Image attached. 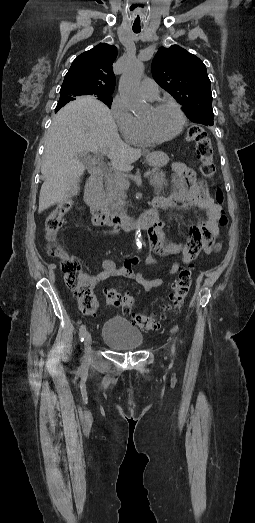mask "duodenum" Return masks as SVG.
I'll list each match as a JSON object with an SVG mask.
<instances>
[{
    "label": "duodenum",
    "instance_id": "410a0bca",
    "mask_svg": "<svg viewBox=\"0 0 255 523\" xmlns=\"http://www.w3.org/2000/svg\"><path fill=\"white\" fill-rule=\"evenodd\" d=\"M105 167L102 163L89 166V180L85 190V202L91 209L92 223L125 231L141 227L151 230L159 222L160 212L169 207L167 198L157 197L152 201V209L145 211L138 217L114 213L109 210L103 198V176Z\"/></svg>",
    "mask_w": 255,
    "mask_h": 523
}]
</instances>
